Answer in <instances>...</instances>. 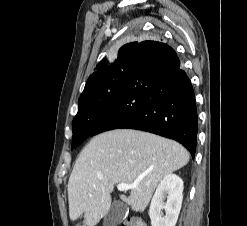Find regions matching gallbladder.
<instances>
[{"mask_svg": "<svg viewBox=\"0 0 247 226\" xmlns=\"http://www.w3.org/2000/svg\"><path fill=\"white\" fill-rule=\"evenodd\" d=\"M126 205L121 201H114L104 217L103 226H118L125 218Z\"/></svg>", "mask_w": 247, "mask_h": 226, "instance_id": "gallbladder-1", "label": "gallbladder"}]
</instances>
